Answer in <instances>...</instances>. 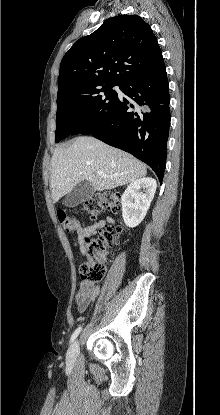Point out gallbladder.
Listing matches in <instances>:
<instances>
[{"label": "gallbladder", "instance_id": "obj_1", "mask_svg": "<svg viewBox=\"0 0 220 415\" xmlns=\"http://www.w3.org/2000/svg\"><path fill=\"white\" fill-rule=\"evenodd\" d=\"M94 192V186L89 181L84 180L78 183L71 192L65 196L63 204L67 207H75L90 198Z\"/></svg>", "mask_w": 220, "mask_h": 415}]
</instances>
